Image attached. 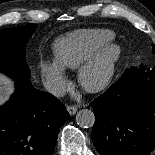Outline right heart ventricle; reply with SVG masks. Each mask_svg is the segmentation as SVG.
<instances>
[{"label":"right heart ventricle","instance_id":"1","mask_svg":"<svg viewBox=\"0 0 155 155\" xmlns=\"http://www.w3.org/2000/svg\"><path fill=\"white\" fill-rule=\"evenodd\" d=\"M114 39L105 29L81 30L58 39L54 44L56 62L64 69H76Z\"/></svg>","mask_w":155,"mask_h":155}]
</instances>
